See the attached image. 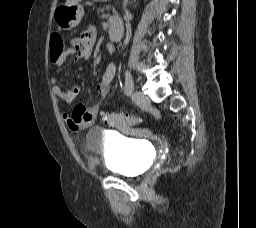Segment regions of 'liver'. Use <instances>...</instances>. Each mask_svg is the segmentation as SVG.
Masks as SVG:
<instances>
[{
    "label": "liver",
    "mask_w": 256,
    "mask_h": 228,
    "mask_svg": "<svg viewBox=\"0 0 256 228\" xmlns=\"http://www.w3.org/2000/svg\"><path fill=\"white\" fill-rule=\"evenodd\" d=\"M80 1H82V0H67L66 5H72V4L78 3Z\"/></svg>",
    "instance_id": "obj_1"
}]
</instances>
